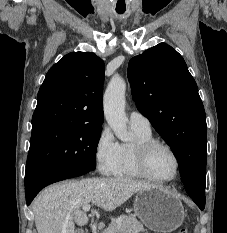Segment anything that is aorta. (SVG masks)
Instances as JSON below:
<instances>
[{
	"label": "aorta",
	"mask_w": 227,
	"mask_h": 233,
	"mask_svg": "<svg viewBox=\"0 0 227 233\" xmlns=\"http://www.w3.org/2000/svg\"><path fill=\"white\" fill-rule=\"evenodd\" d=\"M125 91L126 83L119 77L114 76L104 93V115L108 125L116 137L123 142L132 139L131 133L127 131L128 118L125 114Z\"/></svg>",
	"instance_id": "aorta-1"
}]
</instances>
